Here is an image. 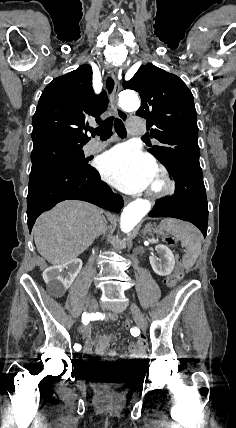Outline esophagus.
<instances>
[{"mask_svg": "<svg viewBox=\"0 0 236 428\" xmlns=\"http://www.w3.org/2000/svg\"><path fill=\"white\" fill-rule=\"evenodd\" d=\"M111 75L115 80V87L112 94V106L114 111L116 112L117 116L122 120L123 122L127 121V113L121 110V108L118 106V95L120 92V81H119V75H118V69L116 67H111Z\"/></svg>", "mask_w": 236, "mask_h": 428, "instance_id": "1", "label": "esophagus"}]
</instances>
